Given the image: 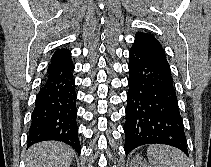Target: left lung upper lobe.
Segmentation results:
<instances>
[{"instance_id": "obj_1", "label": "left lung upper lobe", "mask_w": 211, "mask_h": 167, "mask_svg": "<svg viewBox=\"0 0 211 167\" xmlns=\"http://www.w3.org/2000/svg\"><path fill=\"white\" fill-rule=\"evenodd\" d=\"M131 48L148 52L171 72L165 52L159 41L154 36L147 33L138 32L135 36V41Z\"/></svg>"}]
</instances>
